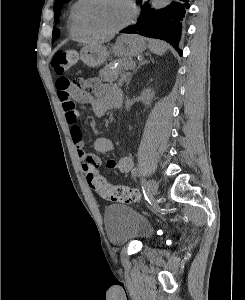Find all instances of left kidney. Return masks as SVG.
Here are the masks:
<instances>
[{
    "instance_id": "obj_1",
    "label": "left kidney",
    "mask_w": 245,
    "mask_h": 300,
    "mask_svg": "<svg viewBox=\"0 0 245 300\" xmlns=\"http://www.w3.org/2000/svg\"><path fill=\"white\" fill-rule=\"evenodd\" d=\"M142 100L146 105L150 104V101L153 99L154 92L151 91V89H145L142 93Z\"/></svg>"
}]
</instances>
